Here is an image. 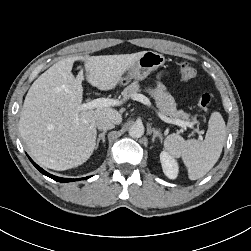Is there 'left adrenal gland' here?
Here are the masks:
<instances>
[{
  "label": "left adrenal gland",
  "instance_id": "obj_1",
  "mask_svg": "<svg viewBox=\"0 0 251 251\" xmlns=\"http://www.w3.org/2000/svg\"><path fill=\"white\" fill-rule=\"evenodd\" d=\"M150 131H151V133H153L152 142L155 141V138H156V137H159V139L162 138V134H161L160 130H158V129H156V128H151Z\"/></svg>",
  "mask_w": 251,
  "mask_h": 251
}]
</instances>
